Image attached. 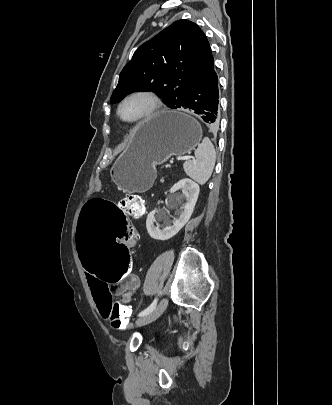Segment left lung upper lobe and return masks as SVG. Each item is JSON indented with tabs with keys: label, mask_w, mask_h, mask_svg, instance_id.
Returning a JSON list of instances; mask_svg holds the SVG:
<instances>
[{
	"label": "left lung upper lobe",
	"mask_w": 332,
	"mask_h": 405,
	"mask_svg": "<svg viewBox=\"0 0 332 405\" xmlns=\"http://www.w3.org/2000/svg\"><path fill=\"white\" fill-rule=\"evenodd\" d=\"M211 55L199 26L178 20L142 44L120 73L110 102L134 91H154L170 108H182L193 79Z\"/></svg>",
	"instance_id": "1"
}]
</instances>
